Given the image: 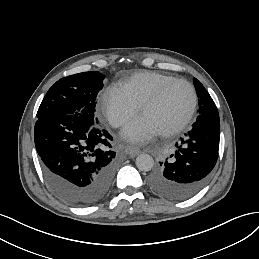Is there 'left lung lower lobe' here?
Instances as JSON below:
<instances>
[{
    "instance_id": "obj_1",
    "label": "left lung lower lobe",
    "mask_w": 259,
    "mask_h": 259,
    "mask_svg": "<svg viewBox=\"0 0 259 259\" xmlns=\"http://www.w3.org/2000/svg\"><path fill=\"white\" fill-rule=\"evenodd\" d=\"M220 119L218 111L200 114L185 139L169 161L148 179L150 187L171 200H185L199 192L214 168L219 149Z\"/></svg>"
}]
</instances>
